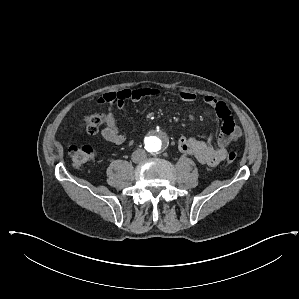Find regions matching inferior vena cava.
<instances>
[{
    "mask_svg": "<svg viewBox=\"0 0 299 299\" xmlns=\"http://www.w3.org/2000/svg\"><path fill=\"white\" fill-rule=\"evenodd\" d=\"M146 160V153L143 149H137L132 153V161L134 163H142Z\"/></svg>",
    "mask_w": 299,
    "mask_h": 299,
    "instance_id": "inferior-vena-cava-1",
    "label": "inferior vena cava"
}]
</instances>
